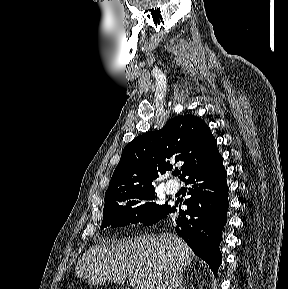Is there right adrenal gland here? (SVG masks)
I'll list each match as a JSON object with an SVG mask.
<instances>
[{"instance_id": "1", "label": "right adrenal gland", "mask_w": 288, "mask_h": 289, "mask_svg": "<svg viewBox=\"0 0 288 289\" xmlns=\"http://www.w3.org/2000/svg\"><path fill=\"white\" fill-rule=\"evenodd\" d=\"M179 289H185L183 287V274L180 275Z\"/></svg>"}]
</instances>
